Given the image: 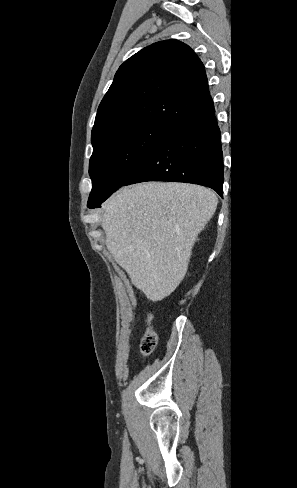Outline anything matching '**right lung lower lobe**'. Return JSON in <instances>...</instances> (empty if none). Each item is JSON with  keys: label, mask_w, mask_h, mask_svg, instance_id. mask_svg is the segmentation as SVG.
Segmentation results:
<instances>
[{"label": "right lung lower lobe", "mask_w": 297, "mask_h": 488, "mask_svg": "<svg viewBox=\"0 0 297 488\" xmlns=\"http://www.w3.org/2000/svg\"><path fill=\"white\" fill-rule=\"evenodd\" d=\"M144 181L200 184L222 197L221 137L213 104L171 127L122 186Z\"/></svg>", "instance_id": "right-lung-lower-lobe-1"}]
</instances>
